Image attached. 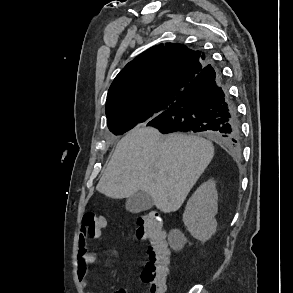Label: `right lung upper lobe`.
<instances>
[{"label":"right lung upper lobe","mask_w":293,"mask_h":293,"mask_svg":"<svg viewBox=\"0 0 293 293\" xmlns=\"http://www.w3.org/2000/svg\"><path fill=\"white\" fill-rule=\"evenodd\" d=\"M207 64L208 59L200 51L178 43L151 47L129 62L114 79L106 100L107 119L158 109L151 119L155 118L174 103Z\"/></svg>","instance_id":"right-lung-upper-lobe-1"}]
</instances>
